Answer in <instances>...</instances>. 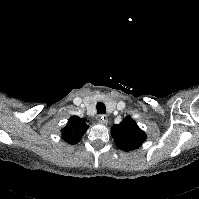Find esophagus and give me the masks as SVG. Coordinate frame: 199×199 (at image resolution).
Returning a JSON list of instances; mask_svg holds the SVG:
<instances>
[{"mask_svg": "<svg viewBox=\"0 0 199 199\" xmlns=\"http://www.w3.org/2000/svg\"><path fill=\"white\" fill-rule=\"evenodd\" d=\"M98 120L102 124H107L108 123V118H107L106 115H100Z\"/></svg>", "mask_w": 199, "mask_h": 199, "instance_id": "34e87169", "label": "esophagus"}]
</instances>
